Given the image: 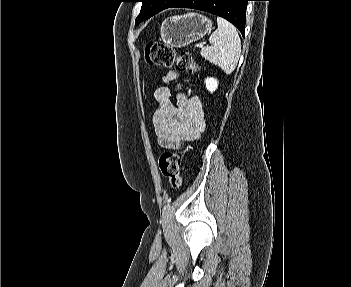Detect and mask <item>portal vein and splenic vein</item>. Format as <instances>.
I'll list each match as a JSON object with an SVG mask.
<instances>
[{
	"instance_id": "obj_1",
	"label": "portal vein and splenic vein",
	"mask_w": 351,
	"mask_h": 287,
	"mask_svg": "<svg viewBox=\"0 0 351 287\" xmlns=\"http://www.w3.org/2000/svg\"><path fill=\"white\" fill-rule=\"evenodd\" d=\"M199 47H200V48H203V45L201 44Z\"/></svg>"
}]
</instances>
